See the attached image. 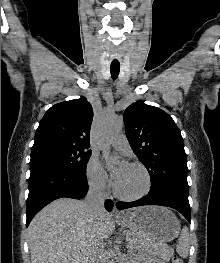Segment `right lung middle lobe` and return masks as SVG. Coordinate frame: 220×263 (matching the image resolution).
<instances>
[{
	"instance_id": "1",
	"label": "right lung middle lobe",
	"mask_w": 220,
	"mask_h": 263,
	"mask_svg": "<svg viewBox=\"0 0 220 263\" xmlns=\"http://www.w3.org/2000/svg\"><path fill=\"white\" fill-rule=\"evenodd\" d=\"M91 151L86 148H50L31 153L30 164L47 163L76 173H86Z\"/></svg>"
}]
</instances>
